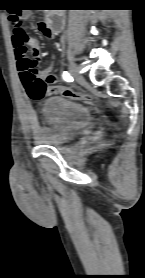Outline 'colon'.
<instances>
[{
    "label": "colon",
    "instance_id": "5ec220e1",
    "mask_svg": "<svg viewBox=\"0 0 145 278\" xmlns=\"http://www.w3.org/2000/svg\"><path fill=\"white\" fill-rule=\"evenodd\" d=\"M9 23L13 31V36L16 40V42L22 46H27L31 43V37L27 33V31L22 26L21 18L17 14H11L9 17ZM16 54L19 57H24L26 54L25 49H16ZM65 94L72 95V96H84L83 94L79 92H75L71 89L66 88L64 90ZM31 95L34 96L35 94L31 92Z\"/></svg>",
    "mask_w": 145,
    "mask_h": 278
}]
</instances>
